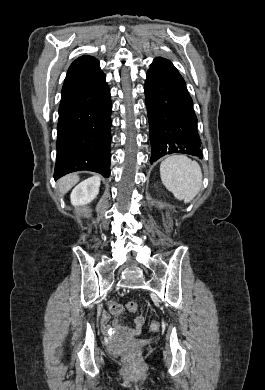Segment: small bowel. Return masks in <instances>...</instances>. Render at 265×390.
Returning a JSON list of instances; mask_svg holds the SVG:
<instances>
[{
    "instance_id": "small-bowel-1",
    "label": "small bowel",
    "mask_w": 265,
    "mask_h": 390,
    "mask_svg": "<svg viewBox=\"0 0 265 390\" xmlns=\"http://www.w3.org/2000/svg\"><path fill=\"white\" fill-rule=\"evenodd\" d=\"M101 323H102V327L106 333H108L110 335L117 333V331H118L117 328H115L109 324V315L107 312L102 313ZM144 324H145V318L142 315H138L134 319L133 327L128 328V329H123L122 335L129 337V338L139 336L143 330Z\"/></svg>"
}]
</instances>
